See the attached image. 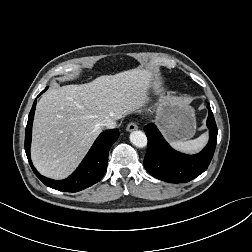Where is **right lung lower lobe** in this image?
Listing matches in <instances>:
<instances>
[{
    "instance_id": "right-lung-lower-lobe-1",
    "label": "right lung lower lobe",
    "mask_w": 252,
    "mask_h": 252,
    "mask_svg": "<svg viewBox=\"0 0 252 252\" xmlns=\"http://www.w3.org/2000/svg\"><path fill=\"white\" fill-rule=\"evenodd\" d=\"M46 90V89H45ZM44 90V91H45ZM42 91L39 95H41ZM36 107V100L30 111L25 132V151L30 166L35 175L48 187L59 191L78 192L92 186L101 180L107 170L108 152L112 144L118 139V129L104 131L94 142L88 154L77 168V170L64 180H52L40 175L32 165L30 158V144L32 133V122Z\"/></svg>"
}]
</instances>
